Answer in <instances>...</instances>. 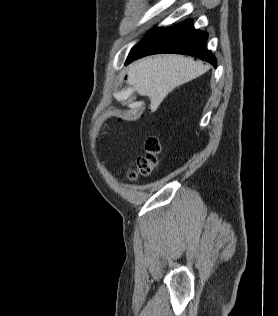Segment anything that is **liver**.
<instances>
[{
  "instance_id": "liver-1",
  "label": "liver",
  "mask_w": 278,
  "mask_h": 316,
  "mask_svg": "<svg viewBox=\"0 0 278 316\" xmlns=\"http://www.w3.org/2000/svg\"><path fill=\"white\" fill-rule=\"evenodd\" d=\"M208 69L209 66L201 61L181 55L147 57L130 66L128 83L139 95L149 97L153 112L174 88L201 76Z\"/></svg>"
}]
</instances>
